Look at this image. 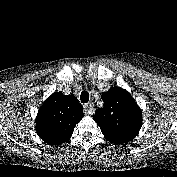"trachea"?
<instances>
[{
  "label": "trachea",
  "instance_id": "1",
  "mask_svg": "<svg viewBox=\"0 0 177 177\" xmlns=\"http://www.w3.org/2000/svg\"><path fill=\"white\" fill-rule=\"evenodd\" d=\"M80 100L82 103L88 102L89 101V93L87 91L81 92Z\"/></svg>",
  "mask_w": 177,
  "mask_h": 177
}]
</instances>
